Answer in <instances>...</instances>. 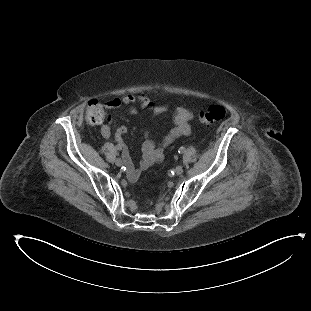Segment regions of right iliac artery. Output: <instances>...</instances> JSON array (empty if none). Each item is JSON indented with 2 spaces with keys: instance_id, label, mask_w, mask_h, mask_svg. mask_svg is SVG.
I'll return each mask as SVG.
<instances>
[{
  "instance_id": "82829eb1",
  "label": "right iliac artery",
  "mask_w": 311,
  "mask_h": 311,
  "mask_svg": "<svg viewBox=\"0 0 311 311\" xmlns=\"http://www.w3.org/2000/svg\"><path fill=\"white\" fill-rule=\"evenodd\" d=\"M115 148H116L117 150H122V145L117 144Z\"/></svg>"
}]
</instances>
